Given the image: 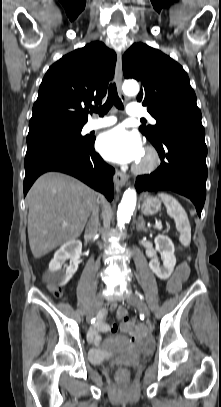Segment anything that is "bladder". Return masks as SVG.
<instances>
[{
  "label": "bladder",
  "instance_id": "bladder-1",
  "mask_svg": "<svg viewBox=\"0 0 221 407\" xmlns=\"http://www.w3.org/2000/svg\"><path fill=\"white\" fill-rule=\"evenodd\" d=\"M114 355V351L107 347H99V348H92L90 350V360L94 364H99L102 363L110 358H112Z\"/></svg>",
  "mask_w": 221,
  "mask_h": 407
}]
</instances>
